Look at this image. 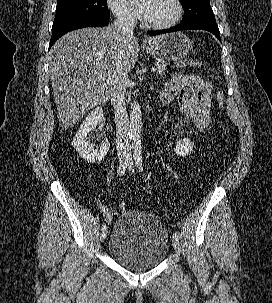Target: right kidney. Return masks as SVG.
I'll list each match as a JSON object with an SVG mask.
<instances>
[{"instance_id": "right-kidney-1", "label": "right kidney", "mask_w": 272, "mask_h": 303, "mask_svg": "<svg viewBox=\"0 0 272 303\" xmlns=\"http://www.w3.org/2000/svg\"><path fill=\"white\" fill-rule=\"evenodd\" d=\"M104 120L103 109L97 107L92 110L80 125L79 130L72 140V146L79 153L80 157L90 163L100 162L105 158L109 151V142L105 139L100 148L95 149L94 145L89 142V133L101 125Z\"/></svg>"}]
</instances>
